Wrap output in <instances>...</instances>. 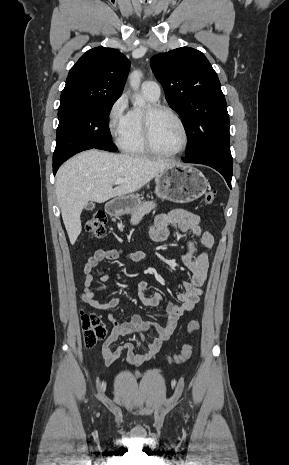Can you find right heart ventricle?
Masks as SVG:
<instances>
[{
    "mask_svg": "<svg viewBox=\"0 0 289 465\" xmlns=\"http://www.w3.org/2000/svg\"><path fill=\"white\" fill-rule=\"evenodd\" d=\"M148 101L155 102L144 94ZM143 110L133 108L129 111L128 126L125 135L119 142L120 148L132 156H145L150 154L146 149L143 141L142 131Z\"/></svg>",
    "mask_w": 289,
    "mask_h": 465,
    "instance_id": "1",
    "label": "right heart ventricle"
}]
</instances>
